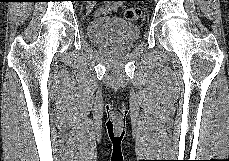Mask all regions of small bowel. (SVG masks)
I'll list each match as a JSON object with an SVG mask.
<instances>
[{"label":"small bowel","mask_w":229,"mask_h":161,"mask_svg":"<svg viewBox=\"0 0 229 161\" xmlns=\"http://www.w3.org/2000/svg\"><path fill=\"white\" fill-rule=\"evenodd\" d=\"M110 9H115V7L114 6H111ZM106 11H107V9H102L101 10V12H106Z\"/></svg>","instance_id":"small-bowel-1"}]
</instances>
